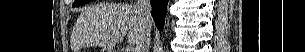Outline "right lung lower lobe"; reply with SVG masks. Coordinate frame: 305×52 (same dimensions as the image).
<instances>
[{"label":"right lung lower lobe","mask_w":305,"mask_h":52,"mask_svg":"<svg viewBox=\"0 0 305 52\" xmlns=\"http://www.w3.org/2000/svg\"><path fill=\"white\" fill-rule=\"evenodd\" d=\"M168 0H151L153 19L159 30H162L165 23Z\"/></svg>","instance_id":"obj_1"}]
</instances>
